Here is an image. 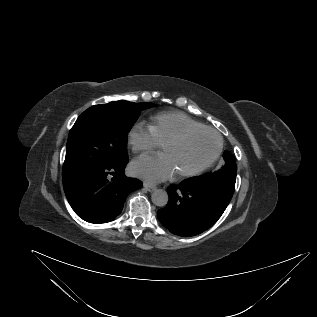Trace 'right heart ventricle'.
Here are the masks:
<instances>
[{"label":"right heart ventricle","instance_id":"right-heart-ventricle-1","mask_svg":"<svg viewBox=\"0 0 317 317\" xmlns=\"http://www.w3.org/2000/svg\"><path fill=\"white\" fill-rule=\"evenodd\" d=\"M200 127L204 125L177 111L158 113L150 124L151 131L160 145L186 129Z\"/></svg>","mask_w":317,"mask_h":317}]
</instances>
